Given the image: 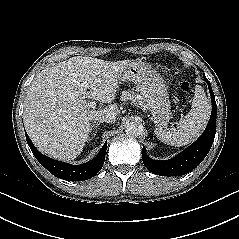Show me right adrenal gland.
<instances>
[{"label": "right adrenal gland", "instance_id": "2a0ac1e0", "mask_svg": "<svg viewBox=\"0 0 239 239\" xmlns=\"http://www.w3.org/2000/svg\"><path fill=\"white\" fill-rule=\"evenodd\" d=\"M100 124H101L100 121H97V122L94 121L93 124L91 125V127H90V133H91V136H92V137H89V138H88L89 141L92 140L93 137L96 135L97 129H98V127H99ZM92 132H93V133H92Z\"/></svg>", "mask_w": 239, "mask_h": 239}]
</instances>
